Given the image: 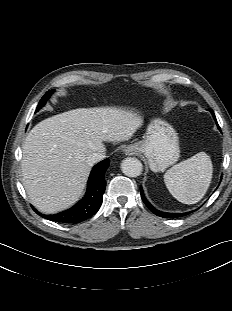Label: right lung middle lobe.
Instances as JSON below:
<instances>
[{
    "instance_id": "obj_1",
    "label": "right lung middle lobe",
    "mask_w": 232,
    "mask_h": 311,
    "mask_svg": "<svg viewBox=\"0 0 232 311\" xmlns=\"http://www.w3.org/2000/svg\"><path fill=\"white\" fill-rule=\"evenodd\" d=\"M53 92H54V90H49V91L42 97V99L40 100V102H39V104H38V106H37L36 112H37L40 108H42V107L45 105L47 99L51 96V94H52Z\"/></svg>"
}]
</instances>
